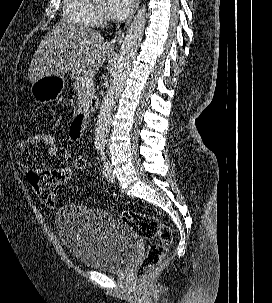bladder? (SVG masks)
<instances>
[{
	"label": "bladder",
	"instance_id": "obj_1",
	"mask_svg": "<svg viewBox=\"0 0 272 303\" xmlns=\"http://www.w3.org/2000/svg\"><path fill=\"white\" fill-rule=\"evenodd\" d=\"M59 237L82 265L101 271H121L136 256V232L111 213L78 203L58 208Z\"/></svg>",
	"mask_w": 272,
	"mask_h": 303
}]
</instances>
